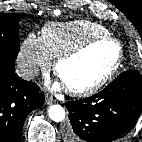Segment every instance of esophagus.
Listing matches in <instances>:
<instances>
[{
  "label": "esophagus",
  "mask_w": 142,
  "mask_h": 142,
  "mask_svg": "<svg viewBox=\"0 0 142 142\" xmlns=\"http://www.w3.org/2000/svg\"><path fill=\"white\" fill-rule=\"evenodd\" d=\"M53 103H54L53 98L46 96V98H45V104L51 105V104H53Z\"/></svg>",
  "instance_id": "34e87169"
}]
</instances>
